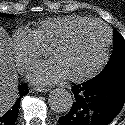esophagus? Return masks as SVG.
Masks as SVG:
<instances>
[{
	"instance_id": "esophagus-1",
	"label": "esophagus",
	"mask_w": 125,
	"mask_h": 125,
	"mask_svg": "<svg viewBox=\"0 0 125 125\" xmlns=\"http://www.w3.org/2000/svg\"><path fill=\"white\" fill-rule=\"evenodd\" d=\"M37 90H38L39 92L46 93V92H48L50 89L38 87Z\"/></svg>"
}]
</instances>
